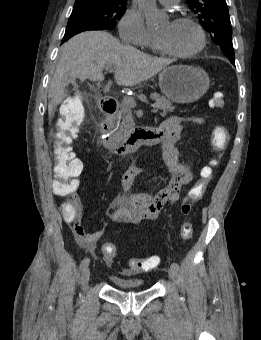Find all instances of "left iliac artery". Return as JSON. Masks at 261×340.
Returning <instances> with one entry per match:
<instances>
[{"mask_svg": "<svg viewBox=\"0 0 261 340\" xmlns=\"http://www.w3.org/2000/svg\"><path fill=\"white\" fill-rule=\"evenodd\" d=\"M171 267H172V268H175L176 270H179V265H178L177 263H175V262H173V263L171 264Z\"/></svg>", "mask_w": 261, "mask_h": 340, "instance_id": "obj_1", "label": "left iliac artery"}]
</instances>
